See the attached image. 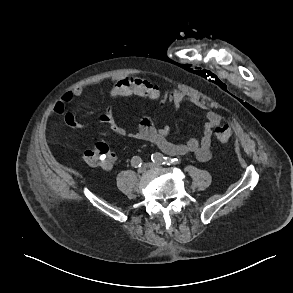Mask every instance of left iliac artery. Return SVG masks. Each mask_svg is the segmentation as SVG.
<instances>
[{
    "instance_id": "left-iliac-artery-1",
    "label": "left iliac artery",
    "mask_w": 293,
    "mask_h": 293,
    "mask_svg": "<svg viewBox=\"0 0 293 293\" xmlns=\"http://www.w3.org/2000/svg\"><path fill=\"white\" fill-rule=\"evenodd\" d=\"M151 159L154 163L160 164V165H175V164H179L181 162V160L177 159V158H169V157H165L160 153H154L151 155Z\"/></svg>"
}]
</instances>
